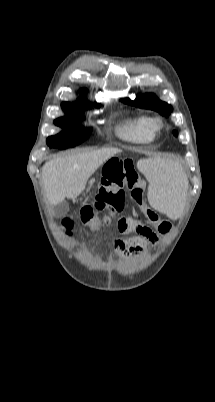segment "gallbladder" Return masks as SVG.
Here are the masks:
<instances>
[{
    "label": "gallbladder",
    "mask_w": 215,
    "mask_h": 402,
    "mask_svg": "<svg viewBox=\"0 0 215 402\" xmlns=\"http://www.w3.org/2000/svg\"><path fill=\"white\" fill-rule=\"evenodd\" d=\"M54 210L57 215H63L68 211V204L66 202H60L54 207Z\"/></svg>",
    "instance_id": "bac80fb5"
}]
</instances>
